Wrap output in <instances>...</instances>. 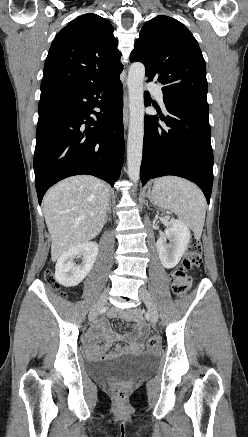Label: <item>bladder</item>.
Returning <instances> with one entry per match:
<instances>
[{"mask_svg":"<svg viewBox=\"0 0 248 437\" xmlns=\"http://www.w3.org/2000/svg\"><path fill=\"white\" fill-rule=\"evenodd\" d=\"M155 362L156 356L152 353L124 355L92 362L89 364L88 373L98 381H129L149 372Z\"/></svg>","mask_w":248,"mask_h":437,"instance_id":"bladder-1","label":"bladder"}]
</instances>
